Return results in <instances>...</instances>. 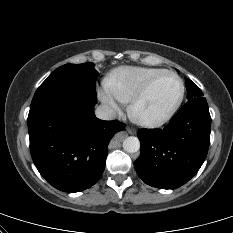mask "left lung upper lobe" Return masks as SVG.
I'll return each instance as SVG.
<instances>
[{"mask_svg":"<svg viewBox=\"0 0 233 233\" xmlns=\"http://www.w3.org/2000/svg\"><path fill=\"white\" fill-rule=\"evenodd\" d=\"M186 84H187L186 89L188 91L187 93L188 100L203 96L201 89L197 85H195L191 80L186 79Z\"/></svg>","mask_w":233,"mask_h":233,"instance_id":"left-lung-upper-lobe-1","label":"left lung upper lobe"}]
</instances>
